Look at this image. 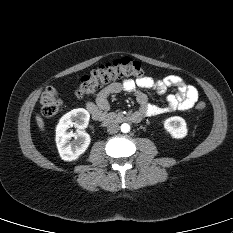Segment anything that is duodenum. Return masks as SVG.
<instances>
[{
    "instance_id": "obj_1",
    "label": "duodenum",
    "mask_w": 233,
    "mask_h": 233,
    "mask_svg": "<svg viewBox=\"0 0 233 233\" xmlns=\"http://www.w3.org/2000/svg\"><path fill=\"white\" fill-rule=\"evenodd\" d=\"M143 114L141 112H134L129 115H111V114H103L100 116L99 120L103 124H110L114 122H132V123H140L143 120Z\"/></svg>"
}]
</instances>
